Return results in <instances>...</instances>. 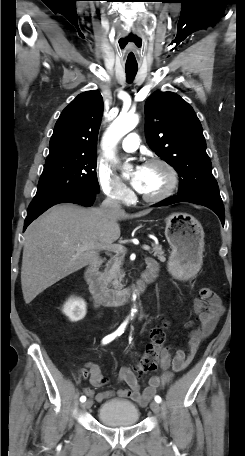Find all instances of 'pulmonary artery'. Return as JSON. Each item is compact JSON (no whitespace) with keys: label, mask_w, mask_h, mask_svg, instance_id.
Returning a JSON list of instances; mask_svg holds the SVG:
<instances>
[{"label":"pulmonary artery","mask_w":245,"mask_h":456,"mask_svg":"<svg viewBox=\"0 0 245 456\" xmlns=\"http://www.w3.org/2000/svg\"><path fill=\"white\" fill-rule=\"evenodd\" d=\"M139 145V137L136 133L128 134L122 141L121 147L126 152H134Z\"/></svg>","instance_id":"1"}]
</instances>
